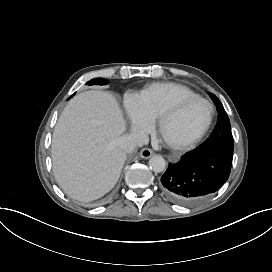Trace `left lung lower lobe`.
Returning a JSON list of instances; mask_svg holds the SVG:
<instances>
[{
  "label": "left lung lower lobe",
  "instance_id": "obj_1",
  "mask_svg": "<svg viewBox=\"0 0 272 272\" xmlns=\"http://www.w3.org/2000/svg\"><path fill=\"white\" fill-rule=\"evenodd\" d=\"M233 151L223 148L193 150L170 164L161 189L173 202L192 205L216 192L228 179Z\"/></svg>",
  "mask_w": 272,
  "mask_h": 272
}]
</instances>
